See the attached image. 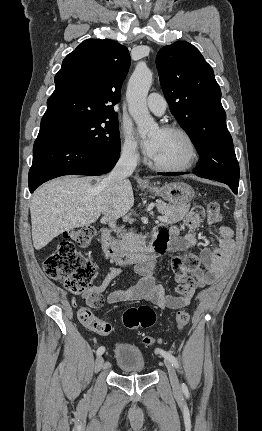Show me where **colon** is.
<instances>
[{"label":"colon","instance_id":"1","mask_svg":"<svg viewBox=\"0 0 262 431\" xmlns=\"http://www.w3.org/2000/svg\"><path fill=\"white\" fill-rule=\"evenodd\" d=\"M206 215L211 223L221 221L222 212L217 201L207 204ZM94 236L95 229L90 226L67 231L57 247L43 257L41 264L45 274L50 279L62 283L71 293L78 294L88 289L96 276L97 266L95 262L79 252L76 245L83 248L89 247ZM196 287L197 281L193 277H189L177 285L176 291L180 296H186ZM78 316L82 325L96 330L101 335L107 336L112 332V326L96 318L90 310L83 308L79 311ZM155 318V312L150 306L141 305L126 309L122 315V323L125 328L135 330L139 327L153 326ZM189 319L190 315L187 310H179L176 314L177 327L184 328ZM143 342L151 345L153 340L145 338Z\"/></svg>","mask_w":262,"mask_h":431}]
</instances>
